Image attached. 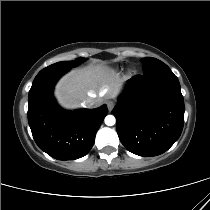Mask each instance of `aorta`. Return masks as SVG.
<instances>
[{
	"label": "aorta",
	"mask_w": 210,
	"mask_h": 210,
	"mask_svg": "<svg viewBox=\"0 0 210 210\" xmlns=\"http://www.w3.org/2000/svg\"><path fill=\"white\" fill-rule=\"evenodd\" d=\"M104 121H105V124L107 126H113L116 123V119H115V117L113 115H107L105 117Z\"/></svg>",
	"instance_id": "1"
}]
</instances>
